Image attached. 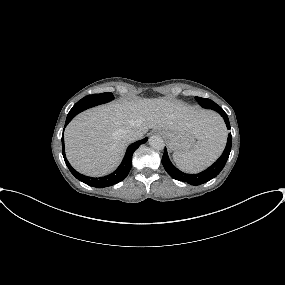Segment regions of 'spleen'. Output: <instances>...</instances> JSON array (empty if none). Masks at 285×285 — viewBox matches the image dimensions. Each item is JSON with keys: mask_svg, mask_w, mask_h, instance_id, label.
<instances>
[{"mask_svg": "<svg viewBox=\"0 0 285 285\" xmlns=\"http://www.w3.org/2000/svg\"><path fill=\"white\" fill-rule=\"evenodd\" d=\"M227 132L224 124L217 125L206 139L199 140L186 152L173 153V160L184 172L197 173L211 165L222 153Z\"/></svg>", "mask_w": 285, "mask_h": 285, "instance_id": "obj_1", "label": "spleen"}]
</instances>
